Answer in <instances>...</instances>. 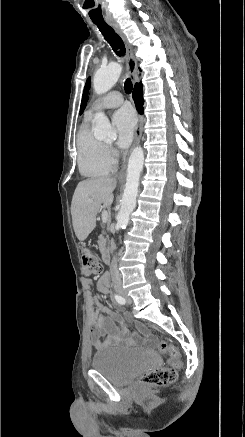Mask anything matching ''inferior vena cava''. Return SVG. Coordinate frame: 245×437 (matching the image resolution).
I'll use <instances>...</instances> for the list:
<instances>
[{"label":"inferior vena cava","mask_w":245,"mask_h":437,"mask_svg":"<svg viewBox=\"0 0 245 437\" xmlns=\"http://www.w3.org/2000/svg\"><path fill=\"white\" fill-rule=\"evenodd\" d=\"M110 273H111V279H112L114 286L121 285V276H120V273L118 270L116 256L113 257L112 262L110 264Z\"/></svg>","instance_id":"inferior-vena-cava-1"}]
</instances>
